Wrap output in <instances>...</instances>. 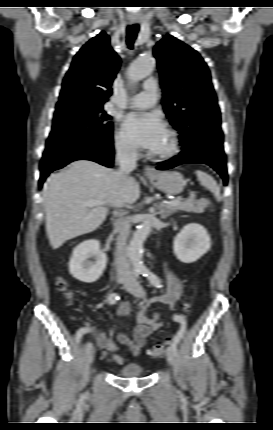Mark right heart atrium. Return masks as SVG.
<instances>
[{"label": "right heart atrium", "instance_id": "right-heart-atrium-1", "mask_svg": "<svg viewBox=\"0 0 273 430\" xmlns=\"http://www.w3.org/2000/svg\"><path fill=\"white\" fill-rule=\"evenodd\" d=\"M115 148L117 153L124 157H133L137 154V147L128 139L123 131L116 133Z\"/></svg>", "mask_w": 273, "mask_h": 430}]
</instances>
